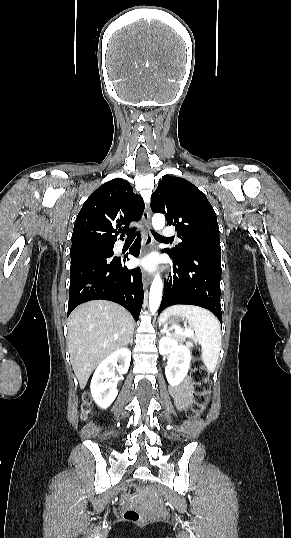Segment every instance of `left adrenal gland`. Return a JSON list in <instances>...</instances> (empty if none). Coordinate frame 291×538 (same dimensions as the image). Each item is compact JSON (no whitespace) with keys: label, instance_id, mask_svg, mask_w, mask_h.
Masks as SVG:
<instances>
[{"label":"left adrenal gland","instance_id":"left-adrenal-gland-1","mask_svg":"<svg viewBox=\"0 0 291 538\" xmlns=\"http://www.w3.org/2000/svg\"><path fill=\"white\" fill-rule=\"evenodd\" d=\"M163 332H164V329L161 330V333H163Z\"/></svg>","mask_w":291,"mask_h":538}]
</instances>
